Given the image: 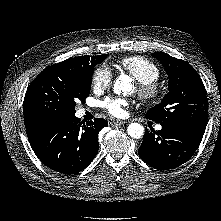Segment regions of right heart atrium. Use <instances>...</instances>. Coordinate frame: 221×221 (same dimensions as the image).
I'll use <instances>...</instances> for the list:
<instances>
[{
  "instance_id": "1",
  "label": "right heart atrium",
  "mask_w": 221,
  "mask_h": 221,
  "mask_svg": "<svg viewBox=\"0 0 221 221\" xmlns=\"http://www.w3.org/2000/svg\"><path fill=\"white\" fill-rule=\"evenodd\" d=\"M112 79L111 69L105 64L99 65L92 74L91 83L93 90L100 92L107 89L111 85Z\"/></svg>"
}]
</instances>
